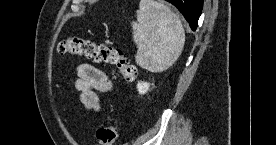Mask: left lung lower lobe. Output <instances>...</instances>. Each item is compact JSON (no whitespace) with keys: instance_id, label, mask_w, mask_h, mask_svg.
Returning <instances> with one entry per match:
<instances>
[{"instance_id":"obj_1","label":"left lung lower lobe","mask_w":276,"mask_h":145,"mask_svg":"<svg viewBox=\"0 0 276 145\" xmlns=\"http://www.w3.org/2000/svg\"><path fill=\"white\" fill-rule=\"evenodd\" d=\"M172 3L186 18L191 29L196 30L201 15L203 0H166Z\"/></svg>"}]
</instances>
